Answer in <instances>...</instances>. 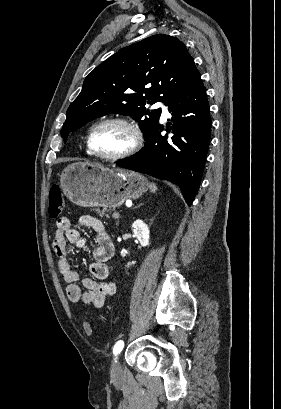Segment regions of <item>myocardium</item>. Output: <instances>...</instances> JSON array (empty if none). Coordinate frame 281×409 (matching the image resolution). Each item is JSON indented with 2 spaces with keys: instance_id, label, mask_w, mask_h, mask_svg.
<instances>
[{
  "instance_id": "obj_1",
  "label": "myocardium",
  "mask_w": 281,
  "mask_h": 409,
  "mask_svg": "<svg viewBox=\"0 0 281 409\" xmlns=\"http://www.w3.org/2000/svg\"><path fill=\"white\" fill-rule=\"evenodd\" d=\"M113 124L121 125L125 127L127 130H129V132L132 135V142L126 149H124L123 151L117 154H114V155L100 154L95 150L94 137L100 128L107 126V125H113ZM143 140H144L143 132L141 128L135 122L125 117L113 116V117H107V118L101 119L92 127L89 133V137H88V148L91 154L94 155L95 157L102 159V160L115 162V161L123 160L135 154L141 148L143 144Z\"/></svg>"
}]
</instances>
